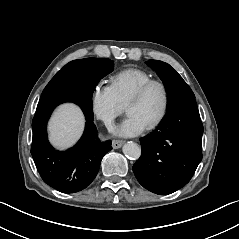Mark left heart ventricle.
Returning a JSON list of instances; mask_svg holds the SVG:
<instances>
[{
	"label": "left heart ventricle",
	"instance_id": "obj_1",
	"mask_svg": "<svg viewBox=\"0 0 239 239\" xmlns=\"http://www.w3.org/2000/svg\"><path fill=\"white\" fill-rule=\"evenodd\" d=\"M163 105L164 94L161 87L153 86L140 101L128 106L127 113L136 115L148 126L159 116Z\"/></svg>",
	"mask_w": 239,
	"mask_h": 239
}]
</instances>
